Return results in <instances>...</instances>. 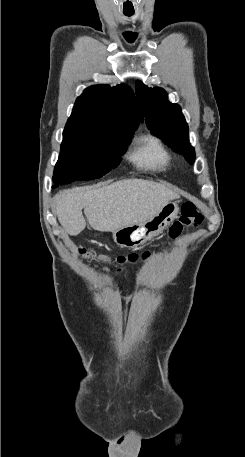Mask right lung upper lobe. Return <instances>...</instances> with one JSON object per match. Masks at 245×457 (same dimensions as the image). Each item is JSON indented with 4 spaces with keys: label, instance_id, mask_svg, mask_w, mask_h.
<instances>
[{
    "label": "right lung upper lobe",
    "instance_id": "obj_1",
    "mask_svg": "<svg viewBox=\"0 0 245 457\" xmlns=\"http://www.w3.org/2000/svg\"><path fill=\"white\" fill-rule=\"evenodd\" d=\"M68 120L137 127L143 116L129 86L94 85L77 98Z\"/></svg>",
    "mask_w": 245,
    "mask_h": 457
}]
</instances>
